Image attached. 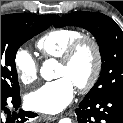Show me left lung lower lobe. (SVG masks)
<instances>
[{"label":"left lung lower lobe","instance_id":"obj_1","mask_svg":"<svg viewBox=\"0 0 123 123\" xmlns=\"http://www.w3.org/2000/svg\"><path fill=\"white\" fill-rule=\"evenodd\" d=\"M76 114L78 123H123V92L85 97Z\"/></svg>","mask_w":123,"mask_h":123}]
</instances>
